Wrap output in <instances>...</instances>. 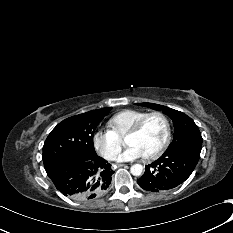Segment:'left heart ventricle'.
<instances>
[{
    "mask_svg": "<svg viewBox=\"0 0 233 233\" xmlns=\"http://www.w3.org/2000/svg\"><path fill=\"white\" fill-rule=\"evenodd\" d=\"M165 136V124L161 117L152 116L146 120L141 130L124 139V142L138 146L145 155L155 150Z\"/></svg>",
    "mask_w": 233,
    "mask_h": 233,
    "instance_id": "b2bd125f",
    "label": "left heart ventricle"
}]
</instances>
